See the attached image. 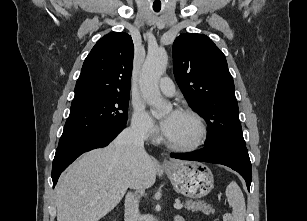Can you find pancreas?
<instances>
[{"instance_id": "pancreas-1", "label": "pancreas", "mask_w": 307, "mask_h": 221, "mask_svg": "<svg viewBox=\"0 0 307 221\" xmlns=\"http://www.w3.org/2000/svg\"><path fill=\"white\" fill-rule=\"evenodd\" d=\"M185 208H187V210H191L192 212L201 211L204 214H214L215 212V209L204 201L187 200L185 202Z\"/></svg>"}]
</instances>
